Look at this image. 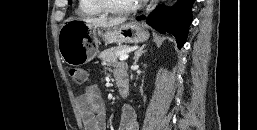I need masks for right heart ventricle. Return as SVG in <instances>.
<instances>
[{
    "label": "right heart ventricle",
    "mask_w": 257,
    "mask_h": 130,
    "mask_svg": "<svg viewBox=\"0 0 257 130\" xmlns=\"http://www.w3.org/2000/svg\"><path fill=\"white\" fill-rule=\"evenodd\" d=\"M103 11L92 0H78L77 14L81 16H97Z\"/></svg>",
    "instance_id": "e07e8e85"
}]
</instances>
